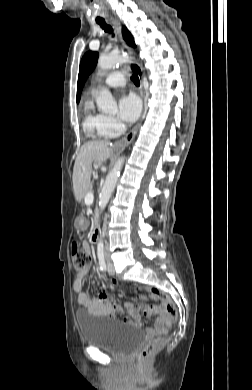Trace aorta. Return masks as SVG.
Instances as JSON below:
<instances>
[{"instance_id": "762f6f07", "label": "aorta", "mask_w": 252, "mask_h": 390, "mask_svg": "<svg viewBox=\"0 0 252 390\" xmlns=\"http://www.w3.org/2000/svg\"><path fill=\"white\" fill-rule=\"evenodd\" d=\"M128 60V56L122 54H103L98 59V68L102 71L108 70L115 67L117 64L125 63ZM96 103L98 108L103 112H114L117 110V103L114 100L111 92L106 88H101L96 97ZM124 159V156L120 157L106 177L105 183L102 187L99 196L100 210H104L107 203L109 202V199L115 189L118 177L120 175V171L122 170Z\"/></svg>"}]
</instances>
